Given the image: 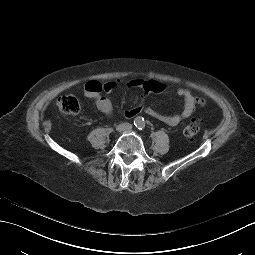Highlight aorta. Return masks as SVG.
<instances>
[{"mask_svg":"<svg viewBox=\"0 0 255 255\" xmlns=\"http://www.w3.org/2000/svg\"><path fill=\"white\" fill-rule=\"evenodd\" d=\"M137 123H138V124H143V120H142L140 117H138V118H137Z\"/></svg>","mask_w":255,"mask_h":255,"instance_id":"aorta-1","label":"aorta"}]
</instances>
